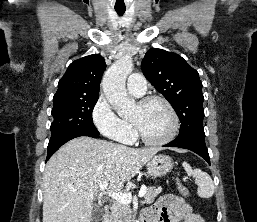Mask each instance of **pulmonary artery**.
<instances>
[{"mask_svg":"<svg viewBox=\"0 0 257 222\" xmlns=\"http://www.w3.org/2000/svg\"><path fill=\"white\" fill-rule=\"evenodd\" d=\"M128 91L136 96H142L146 91V80L141 74H133L127 80Z\"/></svg>","mask_w":257,"mask_h":222,"instance_id":"1","label":"pulmonary artery"}]
</instances>
